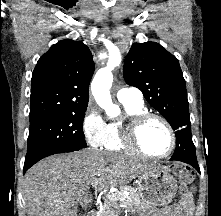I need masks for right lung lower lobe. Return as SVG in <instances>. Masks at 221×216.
Here are the masks:
<instances>
[{
	"label": "right lung lower lobe",
	"instance_id": "1",
	"mask_svg": "<svg viewBox=\"0 0 221 216\" xmlns=\"http://www.w3.org/2000/svg\"><path fill=\"white\" fill-rule=\"evenodd\" d=\"M68 152H72V151H68ZM65 153V152H64ZM35 164V163H34ZM34 164H28V165H24V168H23V172L25 173L32 165Z\"/></svg>",
	"mask_w": 221,
	"mask_h": 216
}]
</instances>
